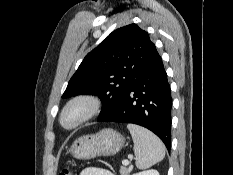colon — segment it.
Returning <instances> with one entry per match:
<instances>
[{
    "instance_id": "colon-1",
    "label": "colon",
    "mask_w": 233,
    "mask_h": 175,
    "mask_svg": "<svg viewBox=\"0 0 233 175\" xmlns=\"http://www.w3.org/2000/svg\"><path fill=\"white\" fill-rule=\"evenodd\" d=\"M58 175H73V171L70 167H64Z\"/></svg>"
}]
</instances>
